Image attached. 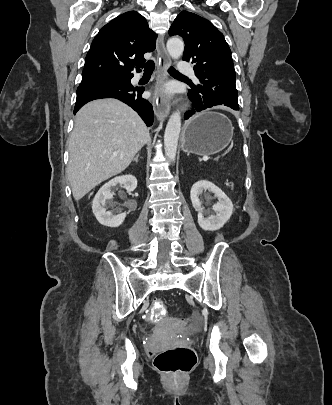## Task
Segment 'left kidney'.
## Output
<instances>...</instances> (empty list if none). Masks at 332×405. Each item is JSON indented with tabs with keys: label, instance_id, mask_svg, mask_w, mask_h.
<instances>
[{
	"label": "left kidney",
	"instance_id": "5707ae66",
	"mask_svg": "<svg viewBox=\"0 0 332 405\" xmlns=\"http://www.w3.org/2000/svg\"><path fill=\"white\" fill-rule=\"evenodd\" d=\"M204 190L213 192L217 198L218 203L214 204L212 210L216 212V215H209L204 217L203 208H201V202L199 196ZM191 202L193 207L198 212V224L206 231L219 230L224 226V224L230 219L233 213V204L227 195L212 182L207 180H200L196 182L190 192Z\"/></svg>",
	"mask_w": 332,
	"mask_h": 405
}]
</instances>
